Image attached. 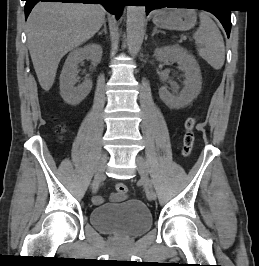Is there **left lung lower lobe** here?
<instances>
[{
	"label": "left lung lower lobe",
	"instance_id": "1",
	"mask_svg": "<svg viewBox=\"0 0 259 266\" xmlns=\"http://www.w3.org/2000/svg\"><path fill=\"white\" fill-rule=\"evenodd\" d=\"M192 0H141L140 3H143L146 6V13L148 14L151 10L161 7H179L180 5H203L208 4L210 1L206 0H196L197 2H191ZM212 2V1H211ZM213 13L219 21L222 23L227 36L230 35L231 30V11L229 9L221 8H201Z\"/></svg>",
	"mask_w": 259,
	"mask_h": 266
}]
</instances>
